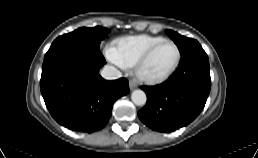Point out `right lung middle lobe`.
Returning a JSON list of instances; mask_svg holds the SVG:
<instances>
[{
    "label": "right lung middle lobe",
    "instance_id": "right-lung-middle-lobe-1",
    "mask_svg": "<svg viewBox=\"0 0 258 158\" xmlns=\"http://www.w3.org/2000/svg\"><path fill=\"white\" fill-rule=\"evenodd\" d=\"M108 32L109 30L103 27H82L56 38L48 51L61 47H85L100 51V41Z\"/></svg>",
    "mask_w": 258,
    "mask_h": 158
}]
</instances>
